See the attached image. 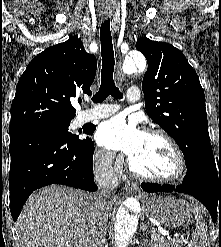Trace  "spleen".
<instances>
[{
	"mask_svg": "<svg viewBox=\"0 0 221 247\" xmlns=\"http://www.w3.org/2000/svg\"><path fill=\"white\" fill-rule=\"evenodd\" d=\"M195 219L197 225L194 233L193 247H210L205 221H203L202 216L198 212L195 213Z\"/></svg>",
	"mask_w": 221,
	"mask_h": 247,
	"instance_id": "spleen-1",
	"label": "spleen"
}]
</instances>
